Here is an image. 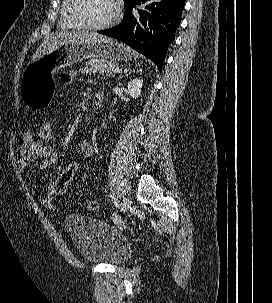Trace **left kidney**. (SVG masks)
Masks as SVG:
<instances>
[{
    "label": "left kidney",
    "instance_id": "1",
    "mask_svg": "<svg viewBox=\"0 0 272 303\" xmlns=\"http://www.w3.org/2000/svg\"><path fill=\"white\" fill-rule=\"evenodd\" d=\"M143 86V80L140 78L132 79L128 82V93L132 98H138L141 95V88Z\"/></svg>",
    "mask_w": 272,
    "mask_h": 303
}]
</instances>
